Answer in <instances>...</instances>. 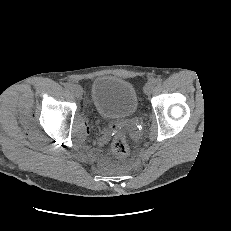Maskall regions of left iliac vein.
Returning a JSON list of instances; mask_svg holds the SVG:
<instances>
[{"label": "left iliac vein", "mask_w": 231, "mask_h": 231, "mask_svg": "<svg viewBox=\"0 0 231 231\" xmlns=\"http://www.w3.org/2000/svg\"><path fill=\"white\" fill-rule=\"evenodd\" d=\"M155 88V83L153 81H148L144 86V93L150 95Z\"/></svg>", "instance_id": "left-iliac-vein-1"}]
</instances>
